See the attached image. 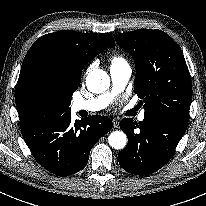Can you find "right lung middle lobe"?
Wrapping results in <instances>:
<instances>
[{
    "instance_id": "obj_1",
    "label": "right lung middle lobe",
    "mask_w": 206,
    "mask_h": 206,
    "mask_svg": "<svg viewBox=\"0 0 206 206\" xmlns=\"http://www.w3.org/2000/svg\"><path fill=\"white\" fill-rule=\"evenodd\" d=\"M72 85L54 58H40L26 84L21 129L46 124L70 114Z\"/></svg>"
}]
</instances>
